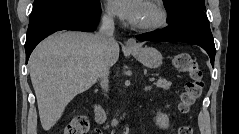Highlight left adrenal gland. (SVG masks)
Returning <instances> with one entry per match:
<instances>
[{"label":"left adrenal gland","instance_id":"a2214340","mask_svg":"<svg viewBox=\"0 0 239 134\" xmlns=\"http://www.w3.org/2000/svg\"><path fill=\"white\" fill-rule=\"evenodd\" d=\"M150 89H151V87H150V86L145 88V90H150Z\"/></svg>","mask_w":239,"mask_h":134}]
</instances>
